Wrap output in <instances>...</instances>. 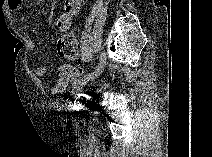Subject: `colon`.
Segmentation results:
<instances>
[{
    "instance_id": "obj_1",
    "label": "colon",
    "mask_w": 212,
    "mask_h": 157,
    "mask_svg": "<svg viewBox=\"0 0 212 157\" xmlns=\"http://www.w3.org/2000/svg\"><path fill=\"white\" fill-rule=\"evenodd\" d=\"M56 49L58 55L69 61H77L79 57L78 44L76 36L73 32L68 31L60 35L58 38ZM81 72V70H77Z\"/></svg>"
}]
</instances>
